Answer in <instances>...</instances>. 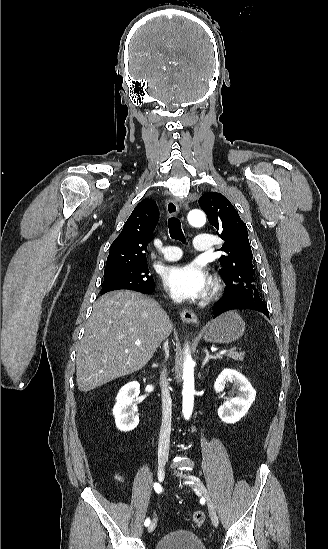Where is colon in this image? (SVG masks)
Instances as JSON below:
<instances>
[{"label": "colon", "mask_w": 328, "mask_h": 549, "mask_svg": "<svg viewBox=\"0 0 328 549\" xmlns=\"http://www.w3.org/2000/svg\"><path fill=\"white\" fill-rule=\"evenodd\" d=\"M191 521L195 526H201L205 522V514L201 511H196L192 514Z\"/></svg>", "instance_id": "colon-1"}]
</instances>
